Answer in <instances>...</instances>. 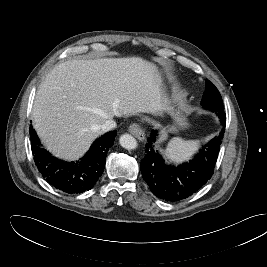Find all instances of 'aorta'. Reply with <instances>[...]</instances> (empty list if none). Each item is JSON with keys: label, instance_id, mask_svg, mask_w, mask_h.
I'll use <instances>...</instances> for the list:
<instances>
[{"label": "aorta", "instance_id": "1", "mask_svg": "<svg viewBox=\"0 0 267 267\" xmlns=\"http://www.w3.org/2000/svg\"><path fill=\"white\" fill-rule=\"evenodd\" d=\"M120 145L127 150H134L138 147L136 139L130 134H123L119 138Z\"/></svg>", "mask_w": 267, "mask_h": 267}]
</instances>
